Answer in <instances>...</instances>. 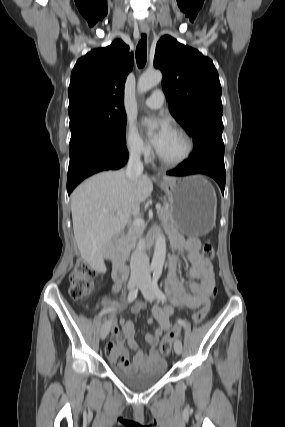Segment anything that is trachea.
Masks as SVG:
<instances>
[{
    "instance_id": "obj_1",
    "label": "trachea",
    "mask_w": 285,
    "mask_h": 427,
    "mask_svg": "<svg viewBox=\"0 0 285 427\" xmlns=\"http://www.w3.org/2000/svg\"><path fill=\"white\" fill-rule=\"evenodd\" d=\"M147 61V41L146 35L142 34V39L139 41L136 48V62L139 68L144 67Z\"/></svg>"
}]
</instances>
